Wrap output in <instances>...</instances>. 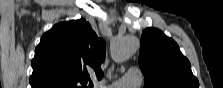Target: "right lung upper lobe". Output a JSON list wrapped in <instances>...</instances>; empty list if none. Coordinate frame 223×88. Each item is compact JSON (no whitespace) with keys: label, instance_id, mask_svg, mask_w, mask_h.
<instances>
[{"label":"right lung upper lobe","instance_id":"1","mask_svg":"<svg viewBox=\"0 0 223 88\" xmlns=\"http://www.w3.org/2000/svg\"><path fill=\"white\" fill-rule=\"evenodd\" d=\"M105 42L84 19L61 22L43 34L32 60V88H87L101 79Z\"/></svg>","mask_w":223,"mask_h":88}]
</instances>
